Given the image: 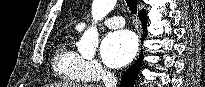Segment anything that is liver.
Segmentation results:
<instances>
[{
    "label": "liver",
    "instance_id": "obj_1",
    "mask_svg": "<svg viewBox=\"0 0 205 87\" xmlns=\"http://www.w3.org/2000/svg\"><path fill=\"white\" fill-rule=\"evenodd\" d=\"M49 87H94V86L88 84H74L71 82H63V83L51 84Z\"/></svg>",
    "mask_w": 205,
    "mask_h": 87
}]
</instances>
